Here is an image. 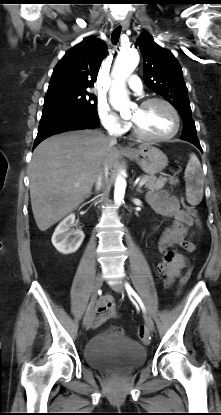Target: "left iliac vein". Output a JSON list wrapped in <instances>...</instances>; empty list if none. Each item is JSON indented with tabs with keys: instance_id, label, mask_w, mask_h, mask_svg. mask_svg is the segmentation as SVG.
Here are the masks:
<instances>
[{
	"instance_id": "4c4485c4",
	"label": "left iliac vein",
	"mask_w": 221,
	"mask_h": 415,
	"mask_svg": "<svg viewBox=\"0 0 221 415\" xmlns=\"http://www.w3.org/2000/svg\"><path fill=\"white\" fill-rule=\"evenodd\" d=\"M111 287L116 292H119V293H124L125 292L124 284L121 283V282H117L115 284H112ZM144 320H145V324H146L147 328L149 330L153 331L154 330V322H153L152 318L148 314L145 313L144 314Z\"/></svg>"
}]
</instances>
